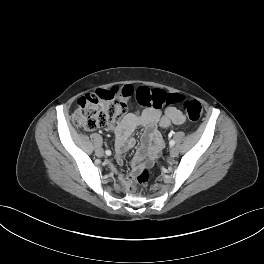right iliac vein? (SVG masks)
I'll return each instance as SVG.
<instances>
[{"mask_svg": "<svg viewBox=\"0 0 264 264\" xmlns=\"http://www.w3.org/2000/svg\"><path fill=\"white\" fill-rule=\"evenodd\" d=\"M95 153L98 157H102L104 155V152L101 148H98Z\"/></svg>", "mask_w": 264, "mask_h": 264, "instance_id": "63e3f726", "label": "right iliac vein"}]
</instances>
